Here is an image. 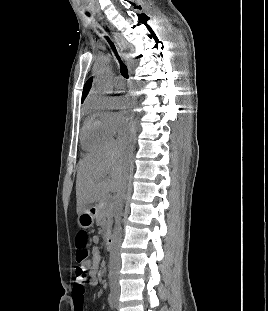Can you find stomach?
<instances>
[{
    "label": "stomach",
    "instance_id": "obj_1",
    "mask_svg": "<svg viewBox=\"0 0 268 311\" xmlns=\"http://www.w3.org/2000/svg\"><path fill=\"white\" fill-rule=\"evenodd\" d=\"M95 216L91 211V208H87L84 212L78 215V225L82 228H90L93 226Z\"/></svg>",
    "mask_w": 268,
    "mask_h": 311
}]
</instances>
